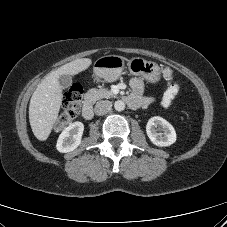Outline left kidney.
Masks as SVG:
<instances>
[{
  "label": "left kidney",
  "mask_w": 227,
  "mask_h": 227,
  "mask_svg": "<svg viewBox=\"0 0 227 227\" xmlns=\"http://www.w3.org/2000/svg\"><path fill=\"white\" fill-rule=\"evenodd\" d=\"M157 127H160L163 133H157ZM146 133L150 141L159 147L170 146L176 142L175 129L168 121L159 116L148 120Z\"/></svg>",
  "instance_id": "5707ae66"
}]
</instances>
